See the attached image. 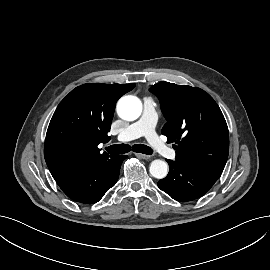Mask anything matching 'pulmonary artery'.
I'll list each match as a JSON object with an SVG mask.
<instances>
[{
    "label": "pulmonary artery",
    "instance_id": "pulmonary-artery-1",
    "mask_svg": "<svg viewBox=\"0 0 270 270\" xmlns=\"http://www.w3.org/2000/svg\"><path fill=\"white\" fill-rule=\"evenodd\" d=\"M157 121L156 104L151 97L143 98V114L141 118L130 124L117 136L120 142H126L144 136L152 148L161 156L173 159L175 152L168 147L157 135L155 125Z\"/></svg>",
    "mask_w": 270,
    "mask_h": 270
}]
</instances>
